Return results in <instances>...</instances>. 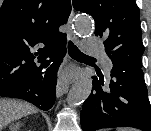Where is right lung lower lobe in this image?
Here are the masks:
<instances>
[{
    "mask_svg": "<svg viewBox=\"0 0 151 131\" xmlns=\"http://www.w3.org/2000/svg\"><path fill=\"white\" fill-rule=\"evenodd\" d=\"M65 43L58 44L53 48L49 54L52 56L51 60L45 61L38 71L15 85L1 90L0 96L23 99L33 103L41 110L48 111L56 99L57 71L66 54ZM51 62L52 64L46 72H41Z\"/></svg>",
    "mask_w": 151,
    "mask_h": 131,
    "instance_id": "right-lung-lower-lobe-1",
    "label": "right lung lower lobe"
}]
</instances>
